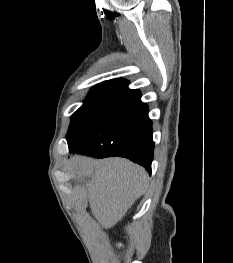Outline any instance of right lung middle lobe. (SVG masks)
I'll return each instance as SVG.
<instances>
[{"label": "right lung middle lobe", "instance_id": "obj_1", "mask_svg": "<svg viewBox=\"0 0 233 263\" xmlns=\"http://www.w3.org/2000/svg\"><path fill=\"white\" fill-rule=\"evenodd\" d=\"M117 98L116 96L88 95L84 104L72 116L67 141H75L91 129Z\"/></svg>", "mask_w": 233, "mask_h": 263}]
</instances>
